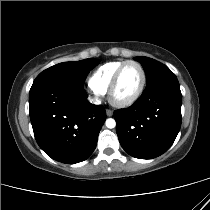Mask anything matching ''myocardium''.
I'll return each mask as SVG.
<instances>
[{
  "mask_svg": "<svg viewBox=\"0 0 210 210\" xmlns=\"http://www.w3.org/2000/svg\"><path fill=\"white\" fill-rule=\"evenodd\" d=\"M129 64H134L139 68V70L141 72V82H140V85H139L137 91L131 97L124 99V100H118L115 98L114 93L118 86L120 76H121L123 69ZM146 81H147V76H146L145 69L138 61H135V60L124 61L116 70V72L111 80V83L109 85V88L107 91L109 102L113 106L118 107V108H124V107H128V106L132 105L142 95V93L145 89V86H146Z\"/></svg>",
  "mask_w": 210,
  "mask_h": 210,
  "instance_id": "f54148a6",
  "label": "myocardium"
}]
</instances>
